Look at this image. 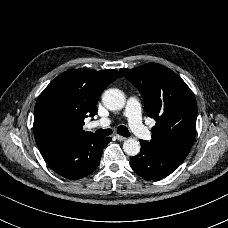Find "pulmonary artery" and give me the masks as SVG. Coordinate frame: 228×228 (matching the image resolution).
I'll use <instances>...</instances> for the list:
<instances>
[{
  "instance_id": "1",
  "label": "pulmonary artery",
  "mask_w": 228,
  "mask_h": 228,
  "mask_svg": "<svg viewBox=\"0 0 228 228\" xmlns=\"http://www.w3.org/2000/svg\"><path fill=\"white\" fill-rule=\"evenodd\" d=\"M127 109L129 110V121L134 129L136 136L139 140H146L148 138V131L146 129L145 124L142 120V110L139 106V103L136 100H129L127 102ZM112 120L110 118H102L98 121H91L87 124L89 129L95 127H107L111 124Z\"/></svg>"
}]
</instances>
